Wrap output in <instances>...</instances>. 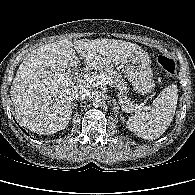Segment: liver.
Wrapping results in <instances>:
<instances>
[{"label": "liver", "instance_id": "6515ba94", "mask_svg": "<svg viewBox=\"0 0 195 195\" xmlns=\"http://www.w3.org/2000/svg\"><path fill=\"white\" fill-rule=\"evenodd\" d=\"M74 48L85 68L95 70L111 69L144 52L137 44L116 39H63L34 49L19 65L10 90L16 118L28 130L46 135L68 125L76 81L60 69L80 64Z\"/></svg>", "mask_w": 195, "mask_h": 195}]
</instances>
